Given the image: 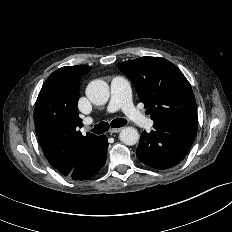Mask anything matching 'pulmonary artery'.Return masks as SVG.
Returning a JSON list of instances; mask_svg holds the SVG:
<instances>
[{"label": "pulmonary artery", "mask_w": 232, "mask_h": 232, "mask_svg": "<svg viewBox=\"0 0 232 232\" xmlns=\"http://www.w3.org/2000/svg\"><path fill=\"white\" fill-rule=\"evenodd\" d=\"M107 113H114L122 110L125 115L135 124L150 128L153 125V120L146 117L139 111L131 101V89L128 81L121 77L116 76L111 82V98L107 106ZM92 119H88L87 123H91Z\"/></svg>", "instance_id": "pulmonary-artery-1"}]
</instances>
